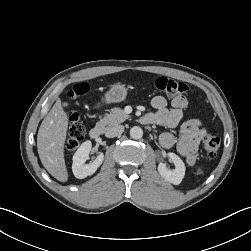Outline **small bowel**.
<instances>
[{"mask_svg":"<svg viewBox=\"0 0 251 251\" xmlns=\"http://www.w3.org/2000/svg\"><path fill=\"white\" fill-rule=\"evenodd\" d=\"M151 105L155 112L147 115L152 119V124L175 128L183 118V111L188 106V101L182 95L176 96L171 100L169 108L167 100L158 95L152 99ZM206 132L199 119H190L182 123L178 136L171 132L162 133L160 143L164 148L176 147L186 162L193 166L196 163L199 143Z\"/></svg>","mask_w":251,"mask_h":251,"instance_id":"1","label":"small bowel"}]
</instances>
